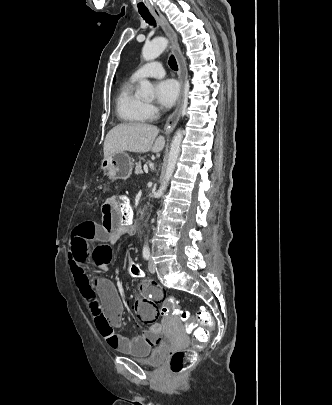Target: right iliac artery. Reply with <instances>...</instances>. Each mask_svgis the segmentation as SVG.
Instances as JSON below:
<instances>
[{
	"label": "right iliac artery",
	"instance_id": "1",
	"mask_svg": "<svg viewBox=\"0 0 332 405\" xmlns=\"http://www.w3.org/2000/svg\"><path fill=\"white\" fill-rule=\"evenodd\" d=\"M143 257H144L145 260H149V258H150V251H149L148 248H144V249H143Z\"/></svg>",
	"mask_w": 332,
	"mask_h": 405
}]
</instances>
